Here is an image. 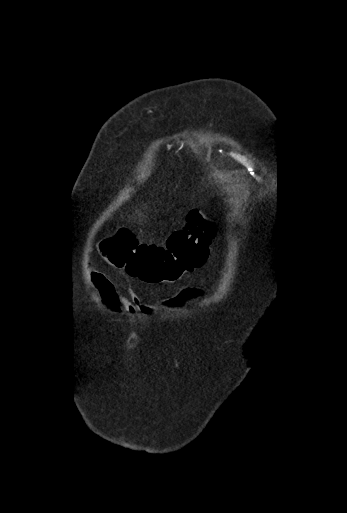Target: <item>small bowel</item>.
I'll return each mask as SVG.
<instances>
[{
	"label": "small bowel",
	"instance_id": "small-bowel-1",
	"mask_svg": "<svg viewBox=\"0 0 347 513\" xmlns=\"http://www.w3.org/2000/svg\"><path fill=\"white\" fill-rule=\"evenodd\" d=\"M87 273L94 287L101 294L104 303L111 310H124L131 314H150L153 311L152 305L143 303L134 291L129 290L127 295L118 293L108 277L91 264L87 267ZM203 297L204 293L200 288L187 286L180 288L167 304L181 305L188 301L201 300Z\"/></svg>",
	"mask_w": 347,
	"mask_h": 513
}]
</instances>
